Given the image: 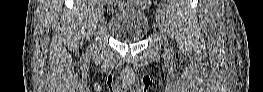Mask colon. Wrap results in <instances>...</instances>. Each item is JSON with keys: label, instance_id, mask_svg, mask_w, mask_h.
I'll list each match as a JSON object with an SVG mask.
<instances>
[{"label": "colon", "instance_id": "colon-1", "mask_svg": "<svg viewBox=\"0 0 263 92\" xmlns=\"http://www.w3.org/2000/svg\"><path fill=\"white\" fill-rule=\"evenodd\" d=\"M117 8H118V7H116V6H115V7H111V8H110V11H115Z\"/></svg>", "mask_w": 263, "mask_h": 92}]
</instances>
